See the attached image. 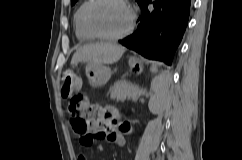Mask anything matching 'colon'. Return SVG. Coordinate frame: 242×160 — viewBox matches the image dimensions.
I'll return each mask as SVG.
<instances>
[{"label":"colon","mask_w":242,"mask_h":160,"mask_svg":"<svg viewBox=\"0 0 242 160\" xmlns=\"http://www.w3.org/2000/svg\"><path fill=\"white\" fill-rule=\"evenodd\" d=\"M60 78L62 96L70 98L69 111L72 115L73 130L81 135L82 144L92 145L95 141L101 139L104 134L93 129L92 119L96 117V113L79 93L81 81L71 69H64ZM120 129L126 131L128 125L124 123Z\"/></svg>","instance_id":"colon-1"}]
</instances>
